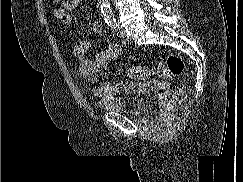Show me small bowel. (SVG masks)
Instances as JSON below:
<instances>
[{"mask_svg": "<svg viewBox=\"0 0 243 182\" xmlns=\"http://www.w3.org/2000/svg\"><path fill=\"white\" fill-rule=\"evenodd\" d=\"M79 0H65L63 7L54 10L55 19L65 26L72 24V16L69 11L74 9ZM102 25L98 20L92 24V31L100 33ZM69 43L74 56L79 61V72L81 76L89 83L97 84L94 94L98 97L115 94L120 88L130 90L133 88L131 83L113 84L108 77H101L100 73L107 69L109 63L121 54L119 44L106 41V49L96 53L93 57L89 55L92 49V43L88 39L69 38Z\"/></svg>", "mask_w": 243, "mask_h": 182, "instance_id": "small-bowel-1", "label": "small bowel"}]
</instances>
